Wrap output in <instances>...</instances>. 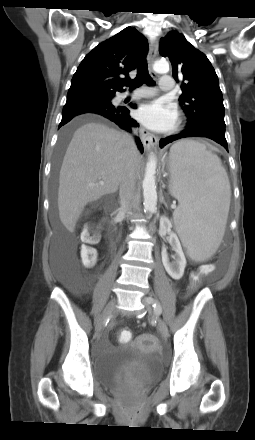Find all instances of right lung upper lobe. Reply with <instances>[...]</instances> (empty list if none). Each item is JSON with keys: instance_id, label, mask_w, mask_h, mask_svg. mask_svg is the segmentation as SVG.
Masks as SVG:
<instances>
[{"instance_id": "right-lung-upper-lobe-1", "label": "right lung upper lobe", "mask_w": 255, "mask_h": 440, "mask_svg": "<svg viewBox=\"0 0 255 440\" xmlns=\"http://www.w3.org/2000/svg\"><path fill=\"white\" fill-rule=\"evenodd\" d=\"M147 51V39L131 27L98 44L78 66L67 100L123 91L121 76L129 78V72Z\"/></svg>"}]
</instances>
